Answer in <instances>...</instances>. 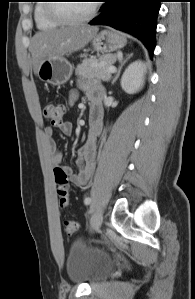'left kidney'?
I'll return each instance as SVG.
<instances>
[{
  "label": "left kidney",
  "instance_id": "left-kidney-1",
  "mask_svg": "<svg viewBox=\"0 0 195 299\" xmlns=\"http://www.w3.org/2000/svg\"><path fill=\"white\" fill-rule=\"evenodd\" d=\"M145 64L138 60L131 63L121 78V87L128 93L138 92L144 85Z\"/></svg>",
  "mask_w": 195,
  "mask_h": 299
}]
</instances>
